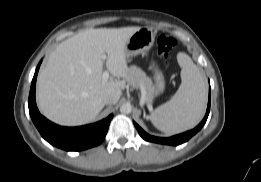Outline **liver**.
Wrapping results in <instances>:
<instances>
[{"label":"liver","mask_w":261,"mask_h":182,"mask_svg":"<svg viewBox=\"0 0 261 182\" xmlns=\"http://www.w3.org/2000/svg\"><path fill=\"white\" fill-rule=\"evenodd\" d=\"M140 28L88 29L61 42L37 79L41 113L57 124L78 126L97 117L103 96H112L116 104L128 75L125 46ZM104 53L108 71L123 80H103Z\"/></svg>","instance_id":"liver-1"}]
</instances>
